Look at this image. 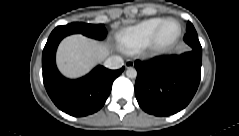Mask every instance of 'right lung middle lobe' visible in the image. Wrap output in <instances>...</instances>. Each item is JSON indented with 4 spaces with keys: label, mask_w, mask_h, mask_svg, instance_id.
Returning a JSON list of instances; mask_svg holds the SVG:
<instances>
[{
    "label": "right lung middle lobe",
    "mask_w": 239,
    "mask_h": 136,
    "mask_svg": "<svg viewBox=\"0 0 239 136\" xmlns=\"http://www.w3.org/2000/svg\"><path fill=\"white\" fill-rule=\"evenodd\" d=\"M57 31L62 32L65 36L80 33L90 38L102 40L106 36V29L103 24L93 25L87 23H70L66 26H58Z\"/></svg>",
    "instance_id": "1"
}]
</instances>
